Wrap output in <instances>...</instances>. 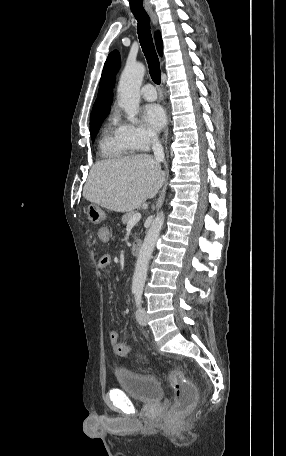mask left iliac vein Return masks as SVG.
Masks as SVG:
<instances>
[{"instance_id": "1", "label": "left iliac vein", "mask_w": 286, "mask_h": 456, "mask_svg": "<svg viewBox=\"0 0 286 456\" xmlns=\"http://www.w3.org/2000/svg\"><path fill=\"white\" fill-rule=\"evenodd\" d=\"M136 319L138 323L142 326L147 324L146 311L143 307H139L136 311Z\"/></svg>"}]
</instances>
